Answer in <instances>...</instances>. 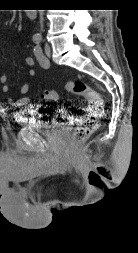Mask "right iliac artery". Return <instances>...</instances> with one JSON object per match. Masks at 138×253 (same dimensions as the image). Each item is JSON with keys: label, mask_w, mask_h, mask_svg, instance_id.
<instances>
[{"label": "right iliac artery", "mask_w": 138, "mask_h": 253, "mask_svg": "<svg viewBox=\"0 0 138 253\" xmlns=\"http://www.w3.org/2000/svg\"><path fill=\"white\" fill-rule=\"evenodd\" d=\"M33 41H34L35 43H39V42L41 41V37H40V36H34V37H33Z\"/></svg>", "instance_id": "obj_1"}]
</instances>
